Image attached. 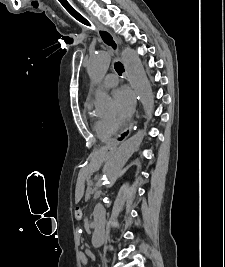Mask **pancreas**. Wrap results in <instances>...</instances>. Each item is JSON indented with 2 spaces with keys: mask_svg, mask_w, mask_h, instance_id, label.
<instances>
[{
  "mask_svg": "<svg viewBox=\"0 0 225 267\" xmlns=\"http://www.w3.org/2000/svg\"><path fill=\"white\" fill-rule=\"evenodd\" d=\"M91 193H92V184L89 183L88 188L86 190V195H85L86 200H88L90 198Z\"/></svg>",
  "mask_w": 225,
  "mask_h": 267,
  "instance_id": "obj_1",
  "label": "pancreas"
}]
</instances>
